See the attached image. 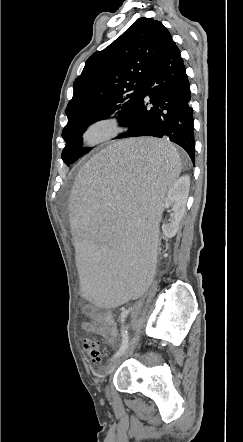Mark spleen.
<instances>
[{
  "label": "spleen",
  "instance_id": "obj_1",
  "mask_svg": "<svg viewBox=\"0 0 243 442\" xmlns=\"http://www.w3.org/2000/svg\"><path fill=\"white\" fill-rule=\"evenodd\" d=\"M71 193L78 286L93 307H124L150 291L155 229L182 161L167 140L128 139L83 163Z\"/></svg>",
  "mask_w": 243,
  "mask_h": 442
}]
</instances>
